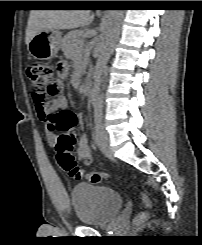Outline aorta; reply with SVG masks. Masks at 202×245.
Segmentation results:
<instances>
[{
	"label": "aorta",
	"instance_id": "762f6f07",
	"mask_svg": "<svg viewBox=\"0 0 202 245\" xmlns=\"http://www.w3.org/2000/svg\"><path fill=\"white\" fill-rule=\"evenodd\" d=\"M124 17V10H110L105 21L99 55L93 72L92 99L97 100L100 91L101 77L112 53Z\"/></svg>",
	"mask_w": 202,
	"mask_h": 245
}]
</instances>
